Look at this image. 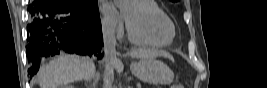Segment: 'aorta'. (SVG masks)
Returning a JSON list of instances; mask_svg holds the SVG:
<instances>
[{"label":"aorta","mask_w":267,"mask_h":88,"mask_svg":"<svg viewBox=\"0 0 267 88\" xmlns=\"http://www.w3.org/2000/svg\"><path fill=\"white\" fill-rule=\"evenodd\" d=\"M119 6H123L127 0H116Z\"/></svg>","instance_id":"aorta-1"}]
</instances>
